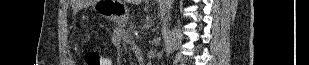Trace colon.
<instances>
[{"instance_id":"colon-1","label":"colon","mask_w":309,"mask_h":65,"mask_svg":"<svg viewBox=\"0 0 309 65\" xmlns=\"http://www.w3.org/2000/svg\"><path fill=\"white\" fill-rule=\"evenodd\" d=\"M84 57L87 65H103L105 61L96 49H87Z\"/></svg>"}]
</instances>
